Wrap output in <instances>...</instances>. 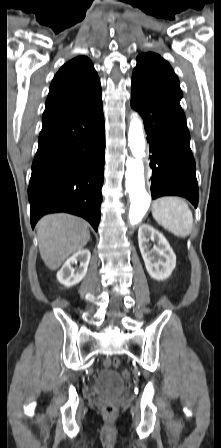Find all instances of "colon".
<instances>
[{"mask_svg": "<svg viewBox=\"0 0 221 448\" xmlns=\"http://www.w3.org/2000/svg\"><path fill=\"white\" fill-rule=\"evenodd\" d=\"M111 366L118 368L120 366V361L118 359H114V360L105 359L103 361V367L105 369H108ZM122 376L124 378H129L130 372L128 370H123ZM117 412H118L117 407L112 403H106L102 407V413L106 418H109V419L114 418L117 415Z\"/></svg>", "mask_w": 221, "mask_h": 448, "instance_id": "1", "label": "colon"}]
</instances>
